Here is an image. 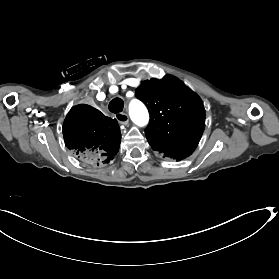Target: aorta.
<instances>
[{
	"instance_id": "aorta-1",
	"label": "aorta",
	"mask_w": 279,
	"mask_h": 279,
	"mask_svg": "<svg viewBox=\"0 0 279 279\" xmlns=\"http://www.w3.org/2000/svg\"><path fill=\"white\" fill-rule=\"evenodd\" d=\"M129 115L138 126L147 124L149 116L146 107L138 100H133L129 105Z\"/></svg>"
}]
</instances>
